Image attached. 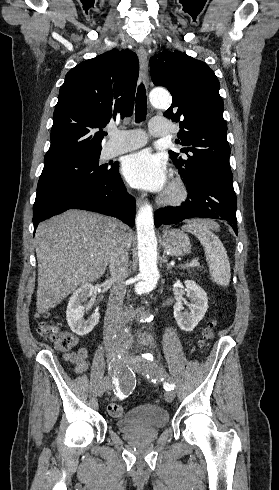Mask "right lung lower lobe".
Here are the masks:
<instances>
[{
	"label": "right lung lower lobe",
	"instance_id": "right-lung-lower-lobe-1",
	"mask_svg": "<svg viewBox=\"0 0 279 490\" xmlns=\"http://www.w3.org/2000/svg\"><path fill=\"white\" fill-rule=\"evenodd\" d=\"M68 209L99 212L134 226L135 199L127 193L119 168L106 180L38 189L33 206L34 232L41 221Z\"/></svg>",
	"mask_w": 279,
	"mask_h": 490
}]
</instances>
